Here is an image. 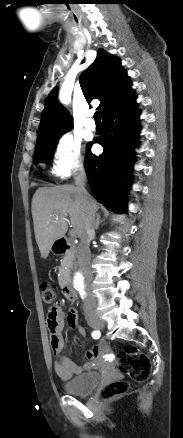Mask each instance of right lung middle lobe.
<instances>
[{"label":"right lung middle lobe","mask_w":183,"mask_h":438,"mask_svg":"<svg viewBox=\"0 0 183 438\" xmlns=\"http://www.w3.org/2000/svg\"><path fill=\"white\" fill-rule=\"evenodd\" d=\"M60 133L37 138L35 147V163H50Z\"/></svg>","instance_id":"right-lung-middle-lobe-1"}]
</instances>
